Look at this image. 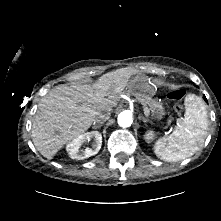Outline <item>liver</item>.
Segmentation results:
<instances>
[{"label": "liver", "instance_id": "6515ba94", "mask_svg": "<svg viewBox=\"0 0 221 221\" xmlns=\"http://www.w3.org/2000/svg\"><path fill=\"white\" fill-rule=\"evenodd\" d=\"M131 73L118 69L102 75L92 85L57 86L38 105L31 136L37 150L47 159L90 128L98 113L110 112L106 96L120 93Z\"/></svg>", "mask_w": 221, "mask_h": 221}]
</instances>
